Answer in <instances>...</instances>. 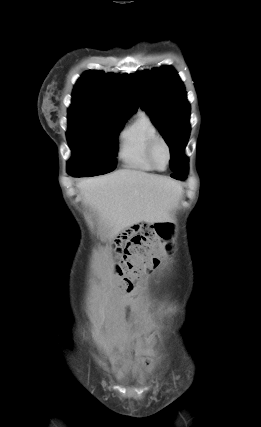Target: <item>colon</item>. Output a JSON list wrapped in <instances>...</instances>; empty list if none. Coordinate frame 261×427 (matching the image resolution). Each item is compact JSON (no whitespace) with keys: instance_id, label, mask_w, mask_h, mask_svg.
I'll return each mask as SVG.
<instances>
[{"instance_id":"obj_1","label":"colon","mask_w":261,"mask_h":427,"mask_svg":"<svg viewBox=\"0 0 261 427\" xmlns=\"http://www.w3.org/2000/svg\"><path fill=\"white\" fill-rule=\"evenodd\" d=\"M170 233L168 226L164 224H156L155 226H145L142 231L134 236L128 243L124 252V266L119 268V272L123 270L133 272V266L129 262V257L133 252L142 251L146 245L156 236L167 237ZM155 258H148L147 263L153 264ZM132 288L131 276H127L123 281V289L130 291Z\"/></svg>"}]
</instances>
